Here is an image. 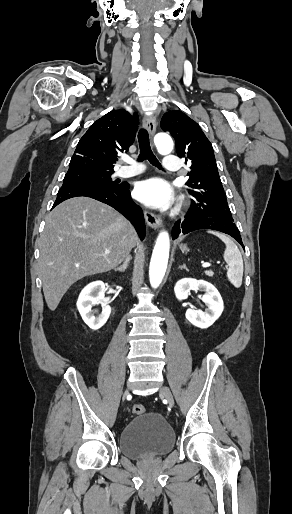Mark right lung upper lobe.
<instances>
[{"instance_id": "1", "label": "right lung upper lobe", "mask_w": 292, "mask_h": 514, "mask_svg": "<svg viewBox=\"0 0 292 514\" xmlns=\"http://www.w3.org/2000/svg\"><path fill=\"white\" fill-rule=\"evenodd\" d=\"M136 116L123 109L112 110L95 121L78 142L68 172L114 171L117 155L127 152L134 142Z\"/></svg>"}]
</instances>
